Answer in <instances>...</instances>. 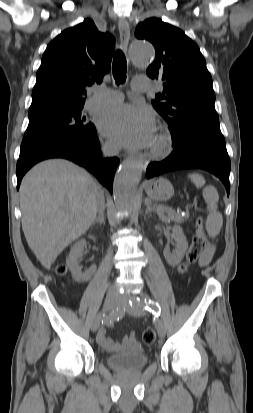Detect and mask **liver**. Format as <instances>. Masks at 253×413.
Masks as SVG:
<instances>
[{
  "instance_id": "liver-1",
  "label": "liver",
  "mask_w": 253,
  "mask_h": 413,
  "mask_svg": "<svg viewBox=\"0 0 253 413\" xmlns=\"http://www.w3.org/2000/svg\"><path fill=\"white\" fill-rule=\"evenodd\" d=\"M101 192L88 172L64 159L43 161L24 176L22 229L44 268L50 270L58 255L89 229Z\"/></svg>"
}]
</instances>
